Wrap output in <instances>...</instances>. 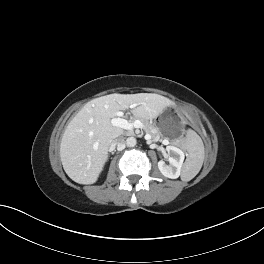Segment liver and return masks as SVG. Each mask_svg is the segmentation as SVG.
I'll return each instance as SVG.
<instances>
[{"label": "liver", "mask_w": 264, "mask_h": 264, "mask_svg": "<svg viewBox=\"0 0 264 264\" xmlns=\"http://www.w3.org/2000/svg\"><path fill=\"white\" fill-rule=\"evenodd\" d=\"M135 105L136 117L152 119L172 102L158 94H110L87 103L62 136L60 157L66 174L76 183L94 184L108 160V149L123 129L113 126L116 112Z\"/></svg>", "instance_id": "1"}]
</instances>
